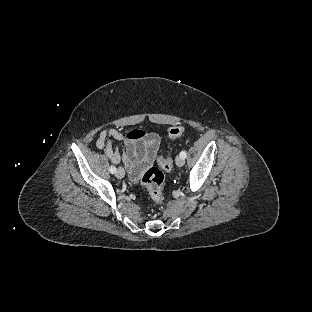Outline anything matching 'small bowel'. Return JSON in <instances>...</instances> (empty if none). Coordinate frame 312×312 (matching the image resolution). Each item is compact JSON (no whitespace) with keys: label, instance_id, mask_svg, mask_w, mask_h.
Segmentation results:
<instances>
[{"label":"small bowel","instance_id":"small-bowel-1","mask_svg":"<svg viewBox=\"0 0 312 312\" xmlns=\"http://www.w3.org/2000/svg\"><path fill=\"white\" fill-rule=\"evenodd\" d=\"M112 140L123 143L122 153L112 145ZM96 147L102 150L112 163L123 162L130 180L137 183L144 171L157 158L160 138L155 132H146L141 129H133L124 133L119 129L110 128L100 132Z\"/></svg>","mask_w":312,"mask_h":312}]
</instances>
